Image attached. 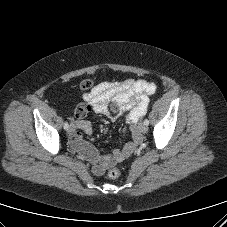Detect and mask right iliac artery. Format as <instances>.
Here are the masks:
<instances>
[{"label": "right iliac artery", "instance_id": "right-iliac-artery-1", "mask_svg": "<svg viewBox=\"0 0 227 227\" xmlns=\"http://www.w3.org/2000/svg\"><path fill=\"white\" fill-rule=\"evenodd\" d=\"M68 128H69V124H68V122H65L64 123V129L68 130Z\"/></svg>", "mask_w": 227, "mask_h": 227}]
</instances>
